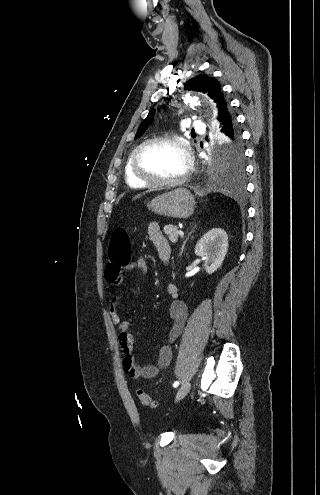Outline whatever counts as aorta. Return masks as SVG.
<instances>
[{"label": "aorta", "instance_id": "obj_1", "mask_svg": "<svg viewBox=\"0 0 320 495\" xmlns=\"http://www.w3.org/2000/svg\"><path fill=\"white\" fill-rule=\"evenodd\" d=\"M205 99H206V101L211 103V100L208 99L207 95L205 96ZM185 102L190 103V105H199V101L195 97L186 98ZM217 182L224 185V186L228 185L227 181H225L224 179H219V180H217Z\"/></svg>", "mask_w": 320, "mask_h": 495}]
</instances>
